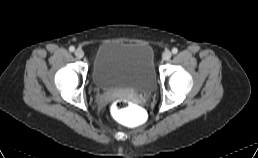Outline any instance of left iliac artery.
<instances>
[{
    "label": "left iliac artery",
    "instance_id": "obj_1",
    "mask_svg": "<svg viewBox=\"0 0 258 158\" xmlns=\"http://www.w3.org/2000/svg\"><path fill=\"white\" fill-rule=\"evenodd\" d=\"M172 53H173V54H177V53H178V49H177V48H173V49H172Z\"/></svg>",
    "mask_w": 258,
    "mask_h": 158
}]
</instances>
